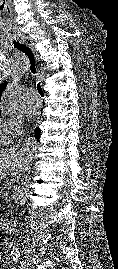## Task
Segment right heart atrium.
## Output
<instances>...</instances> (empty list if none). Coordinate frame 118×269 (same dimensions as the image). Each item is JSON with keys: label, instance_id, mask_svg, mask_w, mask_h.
Masks as SVG:
<instances>
[{"label": "right heart atrium", "instance_id": "obj_1", "mask_svg": "<svg viewBox=\"0 0 118 269\" xmlns=\"http://www.w3.org/2000/svg\"><path fill=\"white\" fill-rule=\"evenodd\" d=\"M23 122V117L20 114L8 113L6 118V125L12 129L19 130ZM1 123V121H0Z\"/></svg>", "mask_w": 118, "mask_h": 269}]
</instances>
